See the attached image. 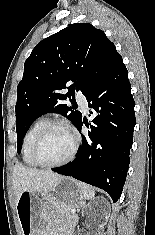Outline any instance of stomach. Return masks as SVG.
Wrapping results in <instances>:
<instances>
[{
  "label": "stomach",
  "instance_id": "0dacf381",
  "mask_svg": "<svg viewBox=\"0 0 155 235\" xmlns=\"http://www.w3.org/2000/svg\"><path fill=\"white\" fill-rule=\"evenodd\" d=\"M24 191L16 203V211L22 235H45L43 229L44 209L51 206L55 211L58 208L67 210L79 208L85 203V197L78 186V182L69 177H62L49 191Z\"/></svg>",
  "mask_w": 155,
  "mask_h": 235
}]
</instances>
